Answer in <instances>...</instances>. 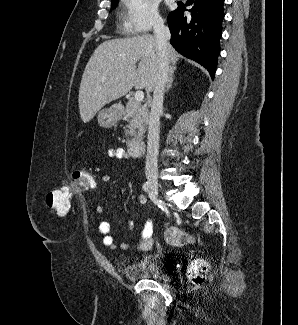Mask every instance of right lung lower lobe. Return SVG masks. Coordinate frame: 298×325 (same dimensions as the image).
<instances>
[{"label": "right lung lower lobe", "instance_id": "obj_1", "mask_svg": "<svg viewBox=\"0 0 298 325\" xmlns=\"http://www.w3.org/2000/svg\"><path fill=\"white\" fill-rule=\"evenodd\" d=\"M191 5L184 16L185 6L171 12L167 18L171 44L183 56L205 67L214 77L220 51L224 0H187Z\"/></svg>", "mask_w": 298, "mask_h": 325}]
</instances>
